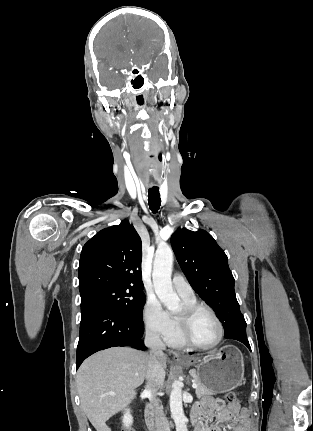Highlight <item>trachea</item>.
Returning a JSON list of instances; mask_svg holds the SVG:
<instances>
[{"mask_svg": "<svg viewBox=\"0 0 313 431\" xmlns=\"http://www.w3.org/2000/svg\"><path fill=\"white\" fill-rule=\"evenodd\" d=\"M149 207L153 213H157L161 205L159 188L154 187L148 190Z\"/></svg>", "mask_w": 313, "mask_h": 431, "instance_id": "1", "label": "trachea"}]
</instances>
